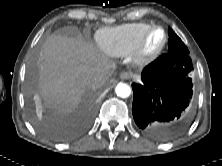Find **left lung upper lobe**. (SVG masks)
Listing matches in <instances>:
<instances>
[{
	"mask_svg": "<svg viewBox=\"0 0 222 166\" xmlns=\"http://www.w3.org/2000/svg\"><path fill=\"white\" fill-rule=\"evenodd\" d=\"M169 40H168V52H179L189 54V50L182 40L174 33L171 28H168Z\"/></svg>",
	"mask_w": 222,
	"mask_h": 166,
	"instance_id": "5c2ea615",
	"label": "left lung upper lobe"
}]
</instances>
